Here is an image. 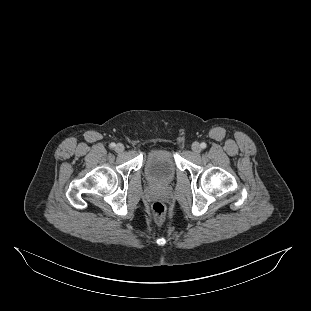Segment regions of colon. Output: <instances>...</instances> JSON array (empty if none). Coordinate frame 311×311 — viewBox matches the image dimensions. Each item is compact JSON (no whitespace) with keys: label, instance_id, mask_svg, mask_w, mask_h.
<instances>
[{"label":"colon","instance_id":"5ec220e1","mask_svg":"<svg viewBox=\"0 0 311 311\" xmlns=\"http://www.w3.org/2000/svg\"><path fill=\"white\" fill-rule=\"evenodd\" d=\"M152 212L157 219H162L165 215V206L161 202L152 204Z\"/></svg>","mask_w":311,"mask_h":311}]
</instances>
